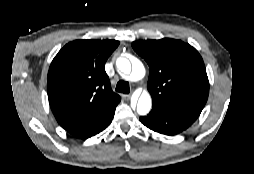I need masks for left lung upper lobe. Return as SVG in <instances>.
<instances>
[{"label": "left lung upper lobe", "instance_id": "left-lung-upper-lobe-1", "mask_svg": "<svg viewBox=\"0 0 254 174\" xmlns=\"http://www.w3.org/2000/svg\"><path fill=\"white\" fill-rule=\"evenodd\" d=\"M132 47L149 65L153 103L199 116L208 99L209 81L198 51L166 38L135 41Z\"/></svg>", "mask_w": 254, "mask_h": 174}]
</instances>
